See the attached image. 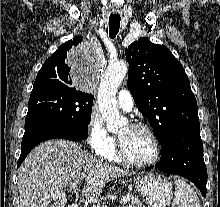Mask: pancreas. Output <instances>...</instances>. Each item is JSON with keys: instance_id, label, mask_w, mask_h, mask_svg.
<instances>
[{"instance_id": "pancreas-1", "label": "pancreas", "mask_w": 220, "mask_h": 207, "mask_svg": "<svg viewBox=\"0 0 220 207\" xmlns=\"http://www.w3.org/2000/svg\"><path fill=\"white\" fill-rule=\"evenodd\" d=\"M96 207H105L100 202L96 203ZM125 207H144L143 203L138 200L137 198H132L127 202V205Z\"/></svg>"}]
</instances>
